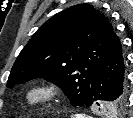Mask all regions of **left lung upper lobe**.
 Instances as JSON below:
<instances>
[{
  "label": "left lung upper lobe",
  "instance_id": "left-lung-upper-lobe-1",
  "mask_svg": "<svg viewBox=\"0 0 133 118\" xmlns=\"http://www.w3.org/2000/svg\"><path fill=\"white\" fill-rule=\"evenodd\" d=\"M116 37L112 24L91 5L70 7L33 34L12 67L7 87L41 77L62 87L72 106H84L92 78ZM126 102L121 98L101 108L122 112Z\"/></svg>",
  "mask_w": 133,
  "mask_h": 118
}]
</instances>
